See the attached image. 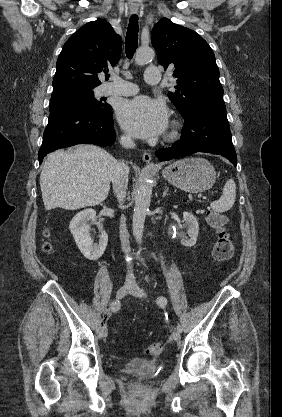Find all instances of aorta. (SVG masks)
Segmentation results:
<instances>
[{
	"label": "aorta",
	"instance_id": "1",
	"mask_svg": "<svg viewBox=\"0 0 282 417\" xmlns=\"http://www.w3.org/2000/svg\"><path fill=\"white\" fill-rule=\"evenodd\" d=\"M155 52L153 48H137L135 54L136 64H145L151 58H154ZM152 198V180L148 174L143 176V182L136 194L134 213L132 219V231L136 243L142 245V237L144 231V223Z\"/></svg>",
	"mask_w": 282,
	"mask_h": 417
}]
</instances>
